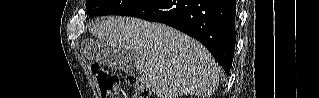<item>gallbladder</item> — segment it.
<instances>
[{
	"instance_id": "bac80fb5",
	"label": "gallbladder",
	"mask_w": 319,
	"mask_h": 98,
	"mask_svg": "<svg viewBox=\"0 0 319 98\" xmlns=\"http://www.w3.org/2000/svg\"><path fill=\"white\" fill-rule=\"evenodd\" d=\"M86 56L101 64L111 66L125 73H139L140 62L138 58L127 50H117L101 43L95 48L85 51Z\"/></svg>"
}]
</instances>
